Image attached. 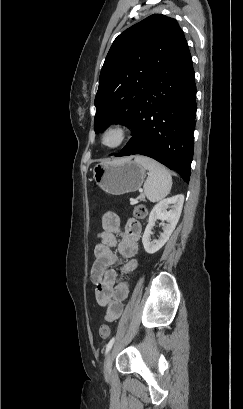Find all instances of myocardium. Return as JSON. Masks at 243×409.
Here are the masks:
<instances>
[{
  "label": "myocardium",
  "instance_id": "1",
  "mask_svg": "<svg viewBox=\"0 0 243 409\" xmlns=\"http://www.w3.org/2000/svg\"><path fill=\"white\" fill-rule=\"evenodd\" d=\"M110 134H114L117 138L116 142L112 145L106 143V137ZM129 129L127 125L121 121L108 124L100 134V143L106 149L114 150L121 147L127 140Z\"/></svg>",
  "mask_w": 243,
  "mask_h": 409
}]
</instances>
